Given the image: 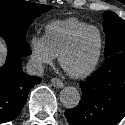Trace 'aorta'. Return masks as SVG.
<instances>
[{
  "label": "aorta",
  "mask_w": 125,
  "mask_h": 125,
  "mask_svg": "<svg viewBox=\"0 0 125 125\" xmlns=\"http://www.w3.org/2000/svg\"><path fill=\"white\" fill-rule=\"evenodd\" d=\"M80 93L74 87H65L60 92V101L66 108H74L80 102Z\"/></svg>",
  "instance_id": "762f6f07"
}]
</instances>
